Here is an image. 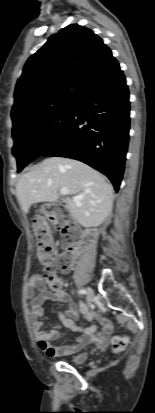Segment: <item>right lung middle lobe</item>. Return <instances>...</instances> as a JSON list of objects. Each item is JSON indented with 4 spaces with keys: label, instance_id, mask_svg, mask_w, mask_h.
<instances>
[{
    "label": "right lung middle lobe",
    "instance_id": "obj_1",
    "mask_svg": "<svg viewBox=\"0 0 155 413\" xmlns=\"http://www.w3.org/2000/svg\"><path fill=\"white\" fill-rule=\"evenodd\" d=\"M73 111L74 103L61 105L13 128L12 154L17 159L18 172L59 138Z\"/></svg>",
    "mask_w": 155,
    "mask_h": 413
}]
</instances>
